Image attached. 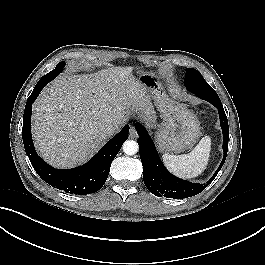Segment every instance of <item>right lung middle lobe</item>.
Segmentation results:
<instances>
[{
	"instance_id": "1",
	"label": "right lung middle lobe",
	"mask_w": 265,
	"mask_h": 265,
	"mask_svg": "<svg viewBox=\"0 0 265 265\" xmlns=\"http://www.w3.org/2000/svg\"><path fill=\"white\" fill-rule=\"evenodd\" d=\"M66 63L64 61L60 62L56 68L54 70H52L51 72H49L48 74H46L43 77L49 78L50 80H53L56 76H58L62 69L65 67Z\"/></svg>"
}]
</instances>
